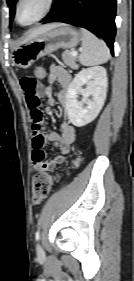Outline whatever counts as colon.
<instances>
[{
	"instance_id": "obj_1",
	"label": "colon",
	"mask_w": 134,
	"mask_h": 281,
	"mask_svg": "<svg viewBox=\"0 0 134 281\" xmlns=\"http://www.w3.org/2000/svg\"><path fill=\"white\" fill-rule=\"evenodd\" d=\"M34 75L38 80H43L47 76V70L43 66H37L34 71ZM79 160L76 159L74 161V165H78ZM57 176H51L48 173L41 171L37 173L32 180V201L35 205L40 204L42 201H44L54 184L56 180H58Z\"/></svg>"
}]
</instances>
